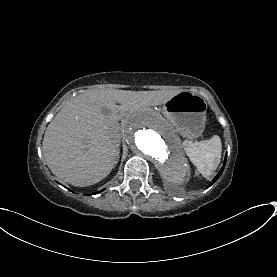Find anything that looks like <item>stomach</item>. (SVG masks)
Segmentation results:
<instances>
[{
  "mask_svg": "<svg viewBox=\"0 0 277 277\" xmlns=\"http://www.w3.org/2000/svg\"><path fill=\"white\" fill-rule=\"evenodd\" d=\"M162 112L187 139L199 137L205 128L206 102L192 92H179L163 104Z\"/></svg>",
  "mask_w": 277,
  "mask_h": 277,
  "instance_id": "1",
  "label": "stomach"
}]
</instances>
